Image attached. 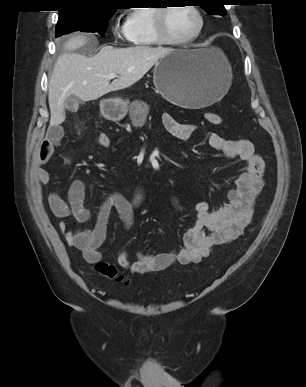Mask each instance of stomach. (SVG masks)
Returning a JSON list of instances; mask_svg holds the SVG:
<instances>
[{
  "label": "stomach",
  "mask_w": 306,
  "mask_h": 387,
  "mask_svg": "<svg viewBox=\"0 0 306 387\" xmlns=\"http://www.w3.org/2000/svg\"><path fill=\"white\" fill-rule=\"evenodd\" d=\"M158 93L169 102L188 109H199L220 100L232 82L230 65L218 48L177 49L158 60L153 70ZM103 117L121 120L128 111L120 98L100 101Z\"/></svg>",
  "instance_id": "0dacf381"
}]
</instances>
